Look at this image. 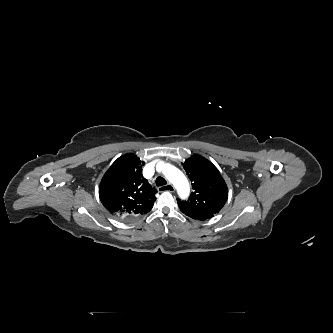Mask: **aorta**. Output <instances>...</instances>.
Instances as JSON below:
<instances>
[{"mask_svg": "<svg viewBox=\"0 0 333 333\" xmlns=\"http://www.w3.org/2000/svg\"><path fill=\"white\" fill-rule=\"evenodd\" d=\"M163 174L175 186L180 198L185 199L190 192L189 182L185 175L170 164H163Z\"/></svg>", "mask_w": 333, "mask_h": 333, "instance_id": "1", "label": "aorta"}]
</instances>
